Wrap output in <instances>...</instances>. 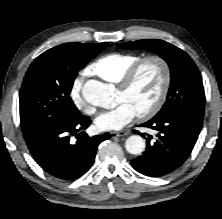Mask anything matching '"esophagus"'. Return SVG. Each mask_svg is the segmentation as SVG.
<instances>
[{
	"instance_id": "esophagus-1",
	"label": "esophagus",
	"mask_w": 222,
	"mask_h": 219,
	"mask_svg": "<svg viewBox=\"0 0 222 219\" xmlns=\"http://www.w3.org/2000/svg\"><path fill=\"white\" fill-rule=\"evenodd\" d=\"M110 135H111L112 138H116V137L126 136V135H128V132H126V131H118V132L114 131V132H111Z\"/></svg>"
}]
</instances>
